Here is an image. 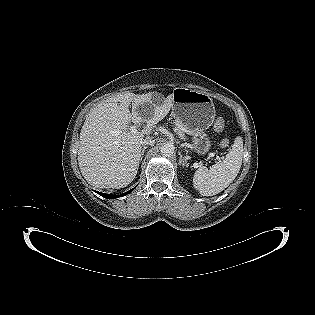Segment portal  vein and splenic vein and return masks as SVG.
<instances>
[{
  "label": "portal vein and splenic vein",
  "instance_id": "18ae733b",
  "mask_svg": "<svg viewBox=\"0 0 315 315\" xmlns=\"http://www.w3.org/2000/svg\"><path fill=\"white\" fill-rule=\"evenodd\" d=\"M131 130H132L133 132H136V131H137V129H136L135 126H131ZM220 159H223V158L218 157V160H220Z\"/></svg>",
  "mask_w": 315,
  "mask_h": 315
}]
</instances>
